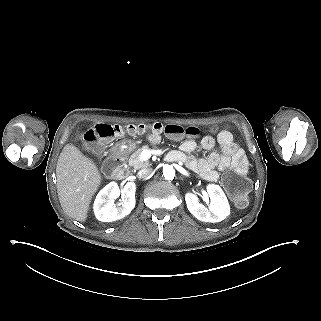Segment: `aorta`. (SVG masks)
Segmentation results:
<instances>
[{
  "label": "aorta",
  "instance_id": "obj_1",
  "mask_svg": "<svg viewBox=\"0 0 321 321\" xmlns=\"http://www.w3.org/2000/svg\"><path fill=\"white\" fill-rule=\"evenodd\" d=\"M163 176L165 177V179L167 180H173L175 177V169L172 166H166L163 169Z\"/></svg>",
  "mask_w": 321,
  "mask_h": 321
}]
</instances>
